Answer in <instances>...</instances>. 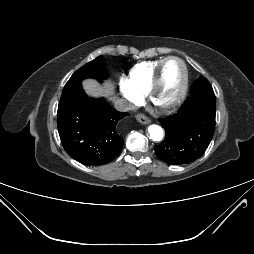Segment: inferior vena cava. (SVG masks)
I'll use <instances>...</instances> for the list:
<instances>
[{"mask_svg":"<svg viewBox=\"0 0 254 254\" xmlns=\"http://www.w3.org/2000/svg\"><path fill=\"white\" fill-rule=\"evenodd\" d=\"M114 106L118 111H130L134 108L133 105H131L128 101L124 99H118L114 102Z\"/></svg>","mask_w":254,"mask_h":254,"instance_id":"602c4592","label":"inferior vena cava"}]
</instances>
